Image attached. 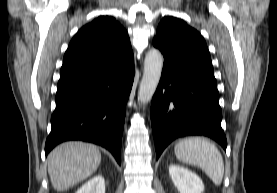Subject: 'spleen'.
Returning <instances> with one entry per match:
<instances>
[{"label": "spleen", "mask_w": 277, "mask_h": 193, "mask_svg": "<svg viewBox=\"0 0 277 193\" xmlns=\"http://www.w3.org/2000/svg\"><path fill=\"white\" fill-rule=\"evenodd\" d=\"M174 150L179 161L200 167L215 185L221 184L224 162L213 143L202 137H189L179 141Z\"/></svg>", "instance_id": "3e777b00"}]
</instances>
